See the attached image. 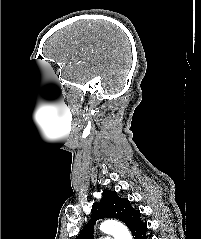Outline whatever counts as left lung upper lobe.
Wrapping results in <instances>:
<instances>
[{
	"label": "left lung upper lobe",
	"instance_id": "5c2ea615",
	"mask_svg": "<svg viewBox=\"0 0 201 239\" xmlns=\"http://www.w3.org/2000/svg\"><path fill=\"white\" fill-rule=\"evenodd\" d=\"M92 219L85 225L75 239H94V224L105 217L117 218L124 222L132 231L141 224V213L132 208L127 198L118 197L116 191L104 190L100 202L92 205Z\"/></svg>",
	"mask_w": 201,
	"mask_h": 239
}]
</instances>
